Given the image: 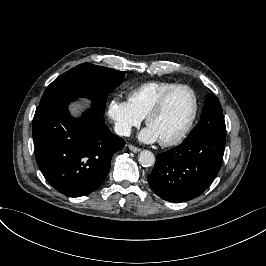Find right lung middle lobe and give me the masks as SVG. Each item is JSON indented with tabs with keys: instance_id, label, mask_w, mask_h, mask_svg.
I'll list each match as a JSON object with an SVG mask.
<instances>
[{
	"instance_id": "right-lung-middle-lobe-1",
	"label": "right lung middle lobe",
	"mask_w": 266,
	"mask_h": 266,
	"mask_svg": "<svg viewBox=\"0 0 266 266\" xmlns=\"http://www.w3.org/2000/svg\"><path fill=\"white\" fill-rule=\"evenodd\" d=\"M124 76L123 71L83 63L55 79L45 90L40 104L57 95L87 97L104 113L109 91L118 87Z\"/></svg>"
}]
</instances>
